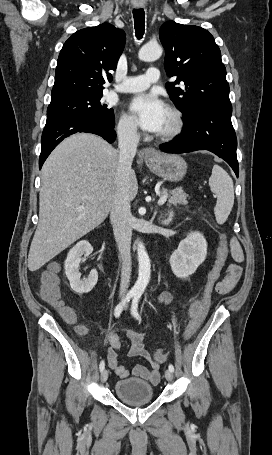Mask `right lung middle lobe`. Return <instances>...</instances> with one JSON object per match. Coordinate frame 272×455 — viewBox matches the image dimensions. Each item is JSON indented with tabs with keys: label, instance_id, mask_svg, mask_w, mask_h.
<instances>
[{
	"label": "right lung middle lobe",
	"instance_id": "obj_1",
	"mask_svg": "<svg viewBox=\"0 0 272 455\" xmlns=\"http://www.w3.org/2000/svg\"><path fill=\"white\" fill-rule=\"evenodd\" d=\"M102 95L72 96L51 101L47 109V122L74 116L95 117L114 122V111L101 103Z\"/></svg>",
	"mask_w": 272,
	"mask_h": 455
}]
</instances>
